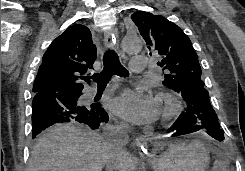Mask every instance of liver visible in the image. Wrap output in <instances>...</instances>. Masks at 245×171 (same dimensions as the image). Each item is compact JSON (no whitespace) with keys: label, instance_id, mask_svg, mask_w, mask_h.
<instances>
[{"label":"liver","instance_id":"liver-1","mask_svg":"<svg viewBox=\"0 0 245 171\" xmlns=\"http://www.w3.org/2000/svg\"><path fill=\"white\" fill-rule=\"evenodd\" d=\"M106 162L113 164L117 171L136 169L128 153L125 158H115L107 141L95 132L72 124H57L37 139L28 171H102Z\"/></svg>","mask_w":245,"mask_h":171}]
</instances>
